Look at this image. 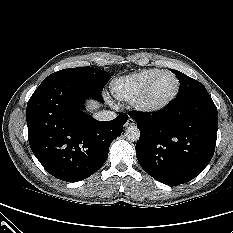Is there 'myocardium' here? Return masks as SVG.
Returning <instances> with one entry per match:
<instances>
[{
	"label": "myocardium",
	"instance_id": "myocardium-1",
	"mask_svg": "<svg viewBox=\"0 0 233 233\" xmlns=\"http://www.w3.org/2000/svg\"><path fill=\"white\" fill-rule=\"evenodd\" d=\"M162 74H170L171 76H173V78L175 79V83H176L175 90L172 93V95L166 100H164L163 102L150 103L147 101V94L152 84L154 83V81ZM179 92H180V80L177 77V75L171 70H160L148 80V82L145 84L143 89L140 91L137 97L133 100V105L137 110L143 113H147V114L158 113L160 111H163L167 107H169L176 100V98L179 95Z\"/></svg>",
	"mask_w": 233,
	"mask_h": 233
}]
</instances>
